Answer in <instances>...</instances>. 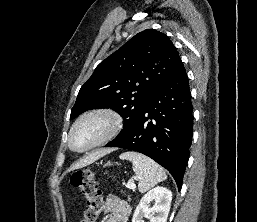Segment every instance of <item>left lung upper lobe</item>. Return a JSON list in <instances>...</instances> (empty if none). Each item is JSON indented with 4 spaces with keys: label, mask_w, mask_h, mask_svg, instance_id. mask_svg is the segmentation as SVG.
<instances>
[{
    "label": "left lung upper lobe",
    "mask_w": 257,
    "mask_h": 222,
    "mask_svg": "<svg viewBox=\"0 0 257 222\" xmlns=\"http://www.w3.org/2000/svg\"><path fill=\"white\" fill-rule=\"evenodd\" d=\"M182 63L167 35L147 29L103 60L81 87L70 120L93 108H111L125 120L138 117L152 94Z\"/></svg>",
    "instance_id": "5c2ea615"
}]
</instances>
